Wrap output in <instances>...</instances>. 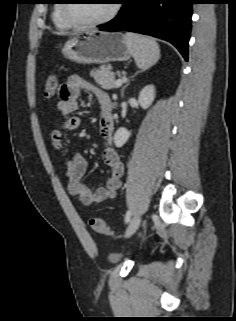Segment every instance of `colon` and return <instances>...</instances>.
<instances>
[{
	"label": "colon",
	"instance_id": "5ec220e1",
	"mask_svg": "<svg viewBox=\"0 0 236 321\" xmlns=\"http://www.w3.org/2000/svg\"><path fill=\"white\" fill-rule=\"evenodd\" d=\"M57 78L55 75H50L44 84L43 95L45 99H51L57 90ZM91 229L98 235L113 237V233L106 222L99 218H93L89 222Z\"/></svg>",
	"mask_w": 236,
	"mask_h": 321
}]
</instances>
